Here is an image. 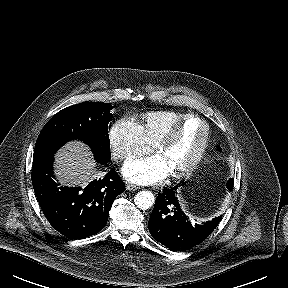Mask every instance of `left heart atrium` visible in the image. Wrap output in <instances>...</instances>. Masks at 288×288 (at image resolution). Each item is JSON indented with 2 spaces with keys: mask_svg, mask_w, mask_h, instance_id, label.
I'll return each mask as SVG.
<instances>
[{
  "mask_svg": "<svg viewBox=\"0 0 288 288\" xmlns=\"http://www.w3.org/2000/svg\"><path fill=\"white\" fill-rule=\"evenodd\" d=\"M124 177L136 184H155L169 176V171L159 155L127 162L123 167Z\"/></svg>",
  "mask_w": 288,
  "mask_h": 288,
  "instance_id": "left-heart-atrium-1",
  "label": "left heart atrium"
}]
</instances>
